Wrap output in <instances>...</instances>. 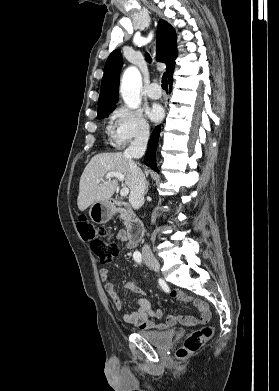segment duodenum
I'll return each instance as SVG.
<instances>
[{"label": "duodenum", "mask_w": 279, "mask_h": 391, "mask_svg": "<svg viewBox=\"0 0 279 391\" xmlns=\"http://www.w3.org/2000/svg\"><path fill=\"white\" fill-rule=\"evenodd\" d=\"M109 210L112 213H122L128 221V240L131 247L137 245L144 233L143 222L133 215L130 205L124 201L110 200Z\"/></svg>", "instance_id": "obj_1"}]
</instances>
